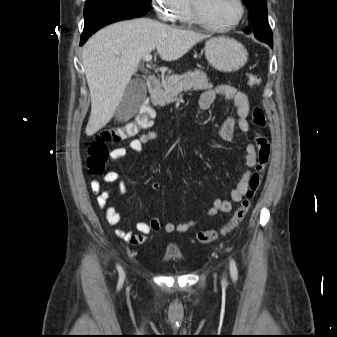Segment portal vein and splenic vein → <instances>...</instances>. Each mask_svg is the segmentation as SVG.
<instances>
[{"label": "portal vein and splenic vein", "mask_w": 337, "mask_h": 337, "mask_svg": "<svg viewBox=\"0 0 337 337\" xmlns=\"http://www.w3.org/2000/svg\"><path fill=\"white\" fill-rule=\"evenodd\" d=\"M151 59H152V55H150V54H147L143 57V60L146 61V62L151 61Z\"/></svg>", "instance_id": "obj_1"}]
</instances>
